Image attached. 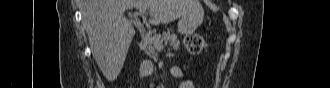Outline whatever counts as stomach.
Segmentation results:
<instances>
[{
    "label": "stomach",
    "instance_id": "obj_1",
    "mask_svg": "<svg viewBox=\"0 0 330 88\" xmlns=\"http://www.w3.org/2000/svg\"><path fill=\"white\" fill-rule=\"evenodd\" d=\"M203 17V8L201 5H198L195 11L181 17L178 22V31L182 34H189L194 32L203 22Z\"/></svg>",
    "mask_w": 330,
    "mask_h": 88
}]
</instances>
